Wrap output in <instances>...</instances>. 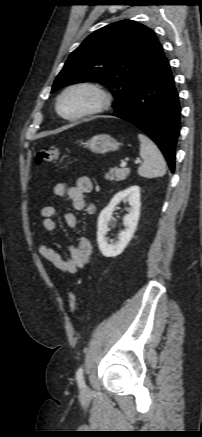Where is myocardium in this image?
I'll list each match as a JSON object with an SVG mask.
<instances>
[{"instance_id":"obj_1","label":"myocardium","mask_w":202,"mask_h":437,"mask_svg":"<svg viewBox=\"0 0 202 437\" xmlns=\"http://www.w3.org/2000/svg\"><path fill=\"white\" fill-rule=\"evenodd\" d=\"M77 89H86L92 92L96 96V102L91 107L83 110L78 114L67 116L63 114L61 111V101L69 92ZM110 103H111V96L103 87H101L100 85L94 82L81 81L69 85L60 93L56 101V111L58 115L65 120L78 121L104 112L110 106Z\"/></svg>"}]
</instances>
